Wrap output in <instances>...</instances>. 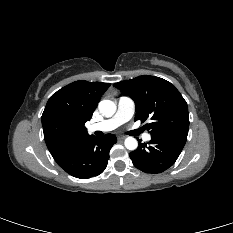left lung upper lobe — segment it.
Returning a JSON list of instances; mask_svg holds the SVG:
<instances>
[{
  "instance_id": "left-lung-upper-lobe-1",
  "label": "left lung upper lobe",
  "mask_w": 233,
  "mask_h": 233,
  "mask_svg": "<svg viewBox=\"0 0 233 233\" xmlns=\"http://www.w3.org/2000/svg\"><path fill=\"white\" fill-rule=\"evenodd\" d=\"M114 86L135 101V121L151 120L145 128L152 136L188 134L187 103L170 82L159 77L143 75L115 83Z\"/></svg>"
}]
</instances>
